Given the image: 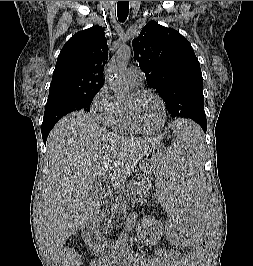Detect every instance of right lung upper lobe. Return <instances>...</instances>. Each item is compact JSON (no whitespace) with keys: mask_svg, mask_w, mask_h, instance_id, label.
Returning a JSON list of instances; mask_svg holds the SVG:
<instances>
[{"mask_svg":"<svg viewBox=\"0 0 253 266\" xmlns=\"http://www.w3.org/2000/svg\"><path fill=\"white\" fill-rule=\"evenodd\" d=\"M107 51L104 29L100 26L73 35L58 56L49 95L100 90L104 85Z\"/></svg>","mask_w":253,"mask_h":266,"instance_id":"cb5924a9","label":"right lung upper lobe"}]
</instances>
